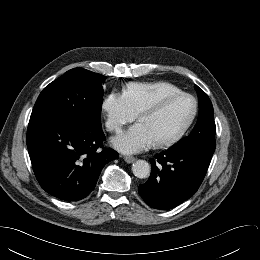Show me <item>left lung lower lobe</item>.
<instances>
[{
	"label": "left lung lower lobe",
	"mask_w": 260,
	"mask_h": 260,
	"mask_svg": "<svg viewBox=\"0 0 260 260\" xmlns=\"http://www.w3.org/2000/svg\"><path fill=\"white\" fill-rule=\"evenodd\" d=\"M213 154L169 148L150 160L152 172L138 192L150 207L168 210L189 199L201 185Z\"/></svg>",
	"instance_id": "obj_1"
}]
</instances>
